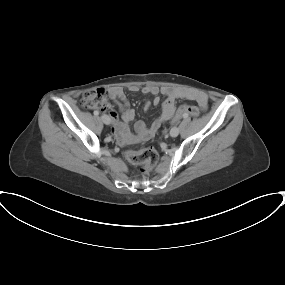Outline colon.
Listing matches in <instances>:
<instances>
[{
    "label": "colon",
    "instance_id": "colon-1",
    "mask_svg": "<svg viewBox=\"0 0 285 285\" xmlns=\"http://www.w3.org/2000/svg\"><path fill=\"white\" fill-rule=\"evenodd\" d=\"M109 91L105 89H94L86 91L81 98V106L84 109H105L109 106ZM200 109L196 106H183L175 116H198ZM126 158L140 166V172L149 173L158 161V153L153 147L141 148L138 150H128L125 152Z\"/></svg>",
    "mask_w": 285,
    "mask_h": 285
}]
</instances>
